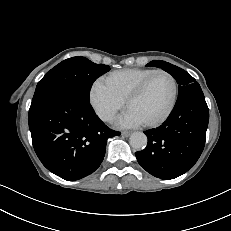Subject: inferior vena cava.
<instances>
[{"label": "inferior vena cava", "instance_id": "inferior-vena-cava-1", "mask_svg": "<svg viewBox=\"0 0 231 231\" xmlns=\"http://www.w3.org/2000/svg\"><path fill=\"white\" fill-rule=\"evenodd\" d=\"M113 113H110V112H106V113H103L101 114V118L104 120V121H109V120H112L113 119Z\"/></svg>", "mask_w": 231, "mask_h": 231}]
</instances>
